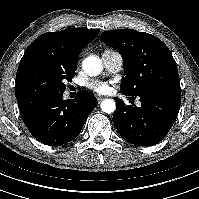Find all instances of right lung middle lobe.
<instances>
[{
  "label": "right lung middle lobe",
  "instance_id": "obj_1",
  "mask_svg": "<svg viewBox=\"0 0 199 199\" xmlns=\"http://www.w3.org/2000/svg\"><path fill=\"white\" fill-rule=\"evenodd\" d=\"M77 66L63 68L44 58L32 57L20 62L16 74V99L56 95L65 91Z\"/></svg>",
  "mask_w": 199,
  "mask_h": 199
}]
</instances>
